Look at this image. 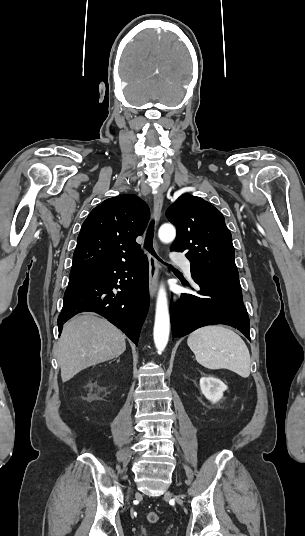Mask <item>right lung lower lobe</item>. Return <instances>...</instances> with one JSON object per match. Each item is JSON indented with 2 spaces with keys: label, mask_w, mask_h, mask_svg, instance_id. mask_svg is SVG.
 Returning <instances> with one entry per match:
<instances>
[{
  "label": "right lung lower lobe",
  "mask_w": 305,
  "mask_h": 536,
  "mask_svg": "<svg viewBox=\"0 0 305 536\" xmlns=\"http://www.w3.org/2000/svg\"><path fill=\"white\" fill-rule=\"evenodd\" d=\"M114 288L121 291L114 293ZM148 307V259L141 254L131 260L70 275L57 321L59 334L62 323L77 313L91 311L104 316L137 344Z\"/></svg>",
  "instance_id": "right-lung-lower-lobe-1"
}]
</instances>
